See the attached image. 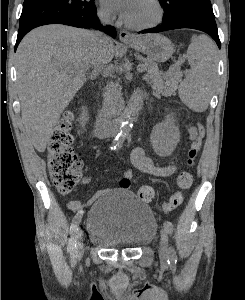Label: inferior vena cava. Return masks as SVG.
<instances>
[{"instance_id":"inferior-vena-cava-1","label":"inferior vena cava","mask_w":245,"mask_h":300,"mask_svg":"<svg viewBox=\"0 0 245 300\" xmlns=\"http://www.w3.org/2000/svg\"><path fill=\"white\" fill-rule=\"evenodd\" d=\"M99 19L103 25L110 23V16L106 13H100ZM95 36H96V41H97V46H98L99 52L101 53L103 50L104 44L108 41L109 38L106 37L105 35H102L101 33H95ZM100 65H101V61H98L95 63L96 67H98ZM106 72H107V70H106Z\"/></svg>"}]
</instances>
